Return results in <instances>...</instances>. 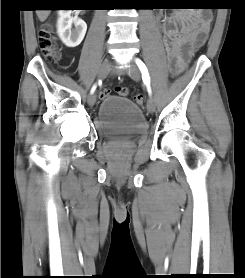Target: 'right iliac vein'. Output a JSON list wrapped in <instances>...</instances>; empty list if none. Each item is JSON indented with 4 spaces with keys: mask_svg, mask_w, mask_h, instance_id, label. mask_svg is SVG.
<instances>
[{
    "mask_svg": "<svg viewBox=\"0 0 245 278\" xmlns=\"http://www.w3.org/2000/svg\"><path fill=\"white\" fill-rule=\"evenodd\" d=\"M109 65H110V62L108 60L105 61L101 65V67L98 69V72H97L98 79H102V78L105 77V75L108 72ZM95 102H96V96H95L94 93H91L89 95V97H88V104H89V106L93 107L95 105Z\"/></svg>",
    "mask_w": 245,
    "mask_h": 278,
    "instance_id": "1",
    "label": "right iliac vein"
}]
</instances>
